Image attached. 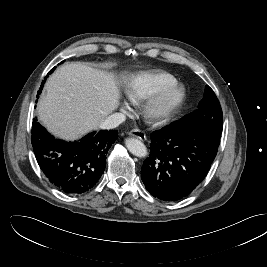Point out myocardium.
<instances>
[{
	"label": "myocardium",
	"instance_id": "1",
	"mask_svg": "<svg viewBox=\"0 0 267 267\" xmlns=\"http://www.w3.org/2000/svg\"><path fill=\"white\" fill-rule=\"evenodd\" d=\"M186 97L182 84L175 83L152 97L143 108L145 119L154 124L169 121L182 107Z\"/></svg>",
	"mask_w": 267,
	"mask_h": 267
}]
</instances>
